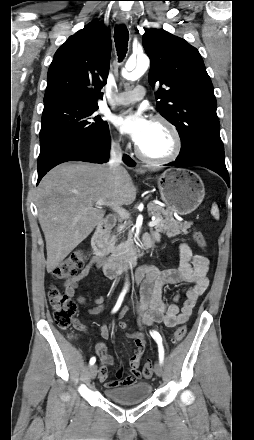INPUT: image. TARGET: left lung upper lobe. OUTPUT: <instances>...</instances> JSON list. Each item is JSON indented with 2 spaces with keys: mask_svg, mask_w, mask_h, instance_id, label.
<instances>
[{
  "mask_svg": "<svg viewBox=\"0 0 254 440\" xmlns=\"http://www.w3.org/2000/svg\"><path fill=\"white\" fill-rule=\"evenodd\" d=\"M151 60L149 83L160 114L177 127L181 156L202 142H222L213 85L198 50L164 30L148 29L142 38Z\"/></svg>",
  "mask_w": 254,
  "mask_h": 440,
  "instance_id": "obj_1",
  "label": "left lung upper lobe"
}]
</instances>
